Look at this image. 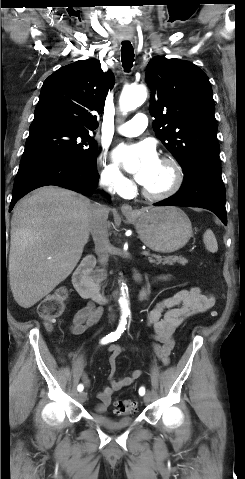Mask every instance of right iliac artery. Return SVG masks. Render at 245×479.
<instances>
[{
    "mask_svg": "<svg viewBox=\"0 0 245 479\" xmlns=\"http://www.w3.org/2000/svg\"><path fill=\"white\" fill-rule=\"evenodd\" d=\"M126 324H127V320L125 317H121V320H120V323L116 329V331L114 332H111L110 334H108L106 337L102 338L101 340V344H107L109 342H114L116 341L117 339L120 338L121 334L124 332V330H126ZM84 387L82 384H79L78 387H77V390L79 392L83 391Z\"/></svg>",
    "mask_w": 245,
    "mask_h": 479,
    "instance_id": "82829eb1",
    "label": "right iliac artery"
}]
</instances>
